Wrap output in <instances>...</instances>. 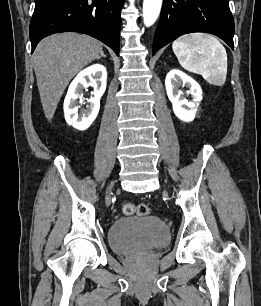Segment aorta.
I'll return each instance as SVG.
<instances>
[{
	"label": "aorta",
	"instance_id": "obj_1",
	"mask_svg": "<svg viewBox=\"0 0 261 306\" xmlns=\"http://www.w3.org/2000/svg\"><path fill=\"white\" fill-rule=\"evenodd\" d=\"M162 0H144L143 21L149 27L157 20L161 10Z\"/></svg>",
	"mask_w": 261,
	"mask_h": 306
}]
</instances>
